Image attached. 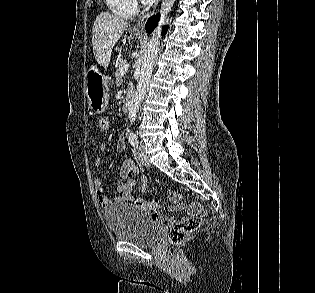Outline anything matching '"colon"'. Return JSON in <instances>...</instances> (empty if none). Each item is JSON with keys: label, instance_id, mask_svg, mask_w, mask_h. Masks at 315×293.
I'll use <instances>...</instances> for the list:
<instances>
[{"label": "colon", "instance_id": "5ec220e1", "mask_svg": "<svg viewBox=\"0 0 315 293\" xmlns=\"http://www.w3.org/2000/svg\"><path fill=\"white\" fill-rule=\"evenodd\" d=\"M109 127V120L106 117H101L98 121V128L101 132H106ZM170 202L177 206L181 205L182 196L178 192H171L169 194ZM201 206L199 204H192L190 211L194 214L199 213ZM202 224V219L196 216L184 218L172 225L170 229L171 242L176 246H181L187 239V237L195 232Z\"/></svg>", "mask_w": 315, "mask_h": 293}]
</instances>
